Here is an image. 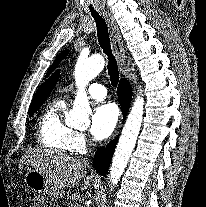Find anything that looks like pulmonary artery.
Here are the masks:
<instances>
[{"instance_id":"obj_1","label":"pulmonary artery","mask_w":206,"mask_h":207,"mask_svg":"<svg viewBox=\"0 0 206 207\" xmlns=\"http://www.w3.org/2000/svg\"><path fill=\"white\" fill-rule=\"evenodd\" d=\"M87 93L94 99L101 100L106 97L107 89L98 83H92L87 88Z\"/></svg>"}]
</instances>
